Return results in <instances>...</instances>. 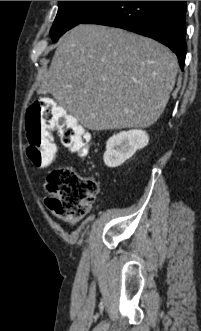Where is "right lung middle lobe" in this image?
I'll list each match as a JSON object with an SVG mask.
<instances>
[{
	"instance_id": "right-lung-middle-lobe-1",
	"label": "right lung middle lobe",
	"mask_w": 201,
	"mask_h": 331,
	"mask_svg": "<svg viewBox=\"0 0 201 331\" xmlns=\"http://www.w3.org/2000/svg\"><path fill=\"white\" fill-rule=\"evenodd\" d=\"M109 1H59V9L50 30L54 42L72 27L83 23Z\"/></svg>"
}]
</instances>
